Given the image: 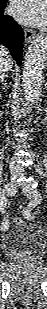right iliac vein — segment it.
Instances as JSON below:
<instances>
[{"label": "right iliac vein", "mask_w": 47, "mask_h": 309, "mask_svg": "<svg viewBox=\"0 0 47 309\" xmlns=\"http://www.w3.org/2000/svg\"><path fill=\"white\" fill-rule=\"evenodd\" d=\"M16 187H17V184L14 180L10 181L9 183H7L3 189V194L6 196V197H11L15 191H16ZM9 225H7L5 228H3L2 230H6L8 229Z\"/></svg>", "instance_id": "1"}]
</instances>
